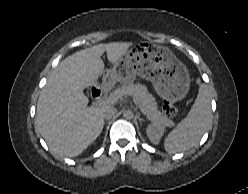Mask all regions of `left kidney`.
Wrapping results in <instances>:
<instances>
[{
  "label": "left kidney",
  "instance_id": "left-kidney-1",
  "mask_svg": "<svg viewBox=\"0 0 248 194\" xmlns=\"http://www.w3.org/2000/svg\"><path fill=\"white\" fill-rule=\"evenodd\" d=\"M164 126L157 123H152L147 126V136L149 137L150 141L154 144H158L163 133H164Z\"/></svg>",
  "mask_w": 248,
  "mask_h": 194
}]
</instances>
